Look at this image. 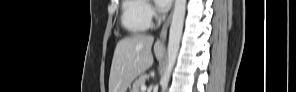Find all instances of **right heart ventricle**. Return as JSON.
<instances>
[{"label":"right heart ventricle","instance_id":"e07e8e85","mask_svg":"<svg viewBox=\"0 0 296 92\" xmlns=\"http://www.w3.org/2000/svg\"><path fill=\"white\" fill-rule=\"evenodd\" d=\"M144 4L140 0L123 1L121 23L128 32L137 34L149 28L150 22L144 16Z\"/></svg>","mask_w":296,"mask_h":92}]
</instances>
